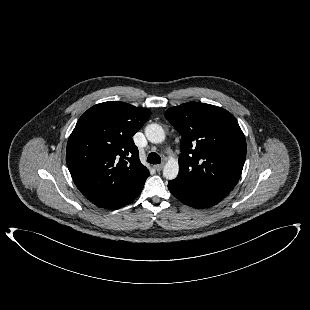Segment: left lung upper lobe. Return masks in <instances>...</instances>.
<instances>
[{
    "instance_id": "5c2ea615",
    "label": "left lung upper lobe",
    "mask_w": 310,
    "mask_h": 310,
    "mask_svg": "<svg viewBox=\"0 0 310 310\" xmlns=\"http://www.w3.org/2000/svg\"><path fill=\"white\" fill-rule=\"evenodd\" d=\"M165 117L182 136L176 180L227 196L246 158L245 136L233 115L221 107L188 102L169 108Z\"/></svg>"
}]
</instances>
